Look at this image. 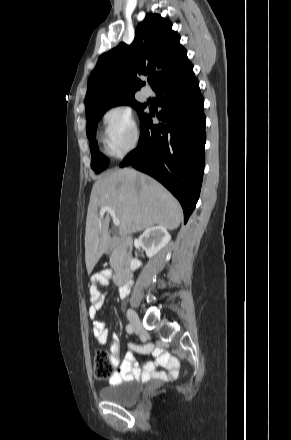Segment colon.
<instances>
[{"label":"colon","mask_w":291,"mask_h":440,"mask_svg":"<svg viewBox=\"0 0 291 440\" xmlns=\"http://www.w3.org/2000/svg\"><path fill=\"white\" fill-rule=\"evenodd\" d=\"M93 372L99 380H104L111 376L112 366L105 352L98 351L96 353L93 359Z\"/></svg>","instance_id":"obj_1"}]
</instances>
